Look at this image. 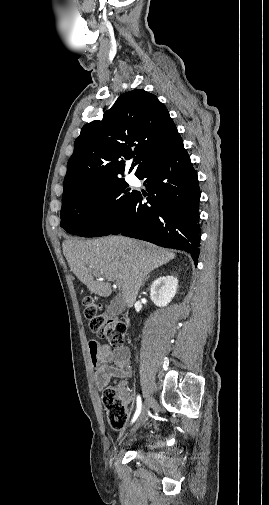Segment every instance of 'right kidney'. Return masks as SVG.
<instances>
[{
  "label": "right kidney",
  "instance_id": "obj_1",
  "mask_svg": "<svg viewBox=\"0 0 269 505\" xmlns=\"http://www.w3.org/2000/svg\"><path fill=\"white\" fill-rule=\"evenodd\" d=\"M178 280L173 276H161L151 285L150 296L156 306H167L177 292Z\"/></svg>",
  "mask_w": 269,
  "mask_h": 505
}]
</instances>
